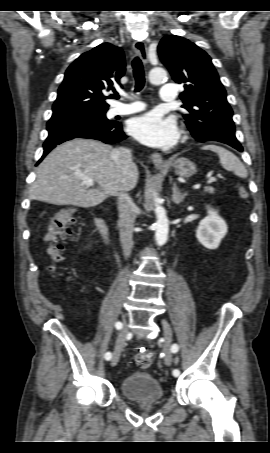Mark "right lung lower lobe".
<instances>
[{"instance_id":"1","label":"right lung lower lobe","mask_w":270,"mask_h":453,"mask_svg":"<svg viewBox=\"0 0 270 453\" xmlns=\"http://www.w3.org/2000/svg\"><path fill=\"white\" fill-rule=\"evenodd\" d=\"M49 135L44 143V153L38 163L58 144L73 138H89L107 144L119 142L127 136L121 124L114 121L98 123L79 117L51 118L47 123Z\"/></svg>"}]
</instances>
